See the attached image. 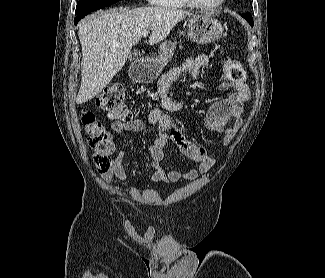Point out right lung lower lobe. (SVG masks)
I'll list each match as a JSON object with an SVG mask.
<instances>
[{
  "instance_id": "98d812e1",
  "label": "right lung lower lobe",
  "mask_w": 325,
  "mask_h": 278,
  "mask_svg": "<svg viewBox=\"0 0 325 278\" xmlns=\"http://www.w3.org/2000/svg\"><path fill=\"white\" fill-rule=\"evenodd\" d=\"M87 15V14H86ZM86 15H80V16H77L75 19H74V24H77L78 22H79V20L81 19V18H83L84 16H86Z\"/></svg>"
}]
</instances>
